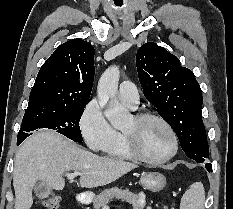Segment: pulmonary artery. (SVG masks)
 Listing matches in <instances>:
<instances>
[{
  "label": "pulmonary artery",
  "mask_w": 233,
  "mask_h": 209,
  "mask_svg": "<svg viewBox=\"0 0 233 209\" xmlns=\"http://www.w3.org/2000/svg\"><path fill=\"white\" fill-rule=\"evenodd\" d=\"M118 97L122 102L128 104L132 108H135L139 102L137 87L131 81H123L120 84Z\"/></svg>",
  "instance_id": "pulmonary-artery-1"
}]
</instances>
